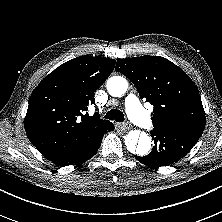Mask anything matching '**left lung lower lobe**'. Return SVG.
I'll return each instance as SVG.
<instances>
[{"instance_id": "left-lung-lower-lobe-1", "label": "left lung lower lobe", "mask_w": 222, "mask_h": 222, "mask_svg": "<svg viewBox=\"0 0 222 222\" xmlns=\"http://www.w3.org/2000/svg\"><path fill=\"white\" fill-rule=\"evenodd\" d=\"M155 146L150 154L135 158L146 166H170L184 157L197 143L200 135L174 128L154 127L150 132Z\"/></svg>"}]
</instances>
